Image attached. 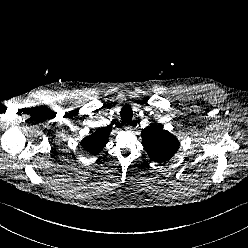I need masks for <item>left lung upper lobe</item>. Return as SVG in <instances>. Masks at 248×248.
I'll return each mask as SVG.
<instances>
[{"label":"left lung upper lobe","mask_w":248,"mask_h":248,"mask_svg":"<svg viewBox=\"0 0 248 248\" xmlns=\"http://www.w3.org/2000/svg\"><path fill=\"white\" fill-rule=\"evenodd\" d=\"M141 136L147 154L156 162L171 159L179 148L178 139L160 125L151 124L142 130Z\"/></svg>","instance_id":"left-lung-upper-lobe-1"}]
</instances>
